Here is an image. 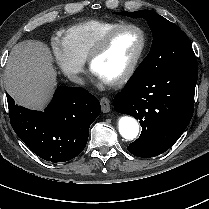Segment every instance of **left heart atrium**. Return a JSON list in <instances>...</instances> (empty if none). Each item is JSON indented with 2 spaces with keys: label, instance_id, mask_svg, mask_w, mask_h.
<instances>
[{
  "label": "left heart atrium",
  "instance_id": "left-heart-atrium-1",
  "mask_svg": "<svg viewBox=\"0 0 209 209\" xmlns=\"http://www.w3.org/2000/svg\"><path fill=\"white\" fill-rule=\"evenodd\" d=\"M93 74H94V76H95L96 78H99V79H100V77H99L96 73L93 72Z\"/></svg>",
  "mask_w": 209,
  "mask_h": 209
}]
</instances>
